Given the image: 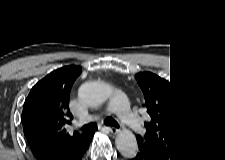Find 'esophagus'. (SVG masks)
<instances>
[{
	"label": "esophagus",
	"mask_w": 225,
	"mask_h": 160,
	"mask_svg": "<svg viewBox=\"0 0 225 160\" xmlns=\"http://www.w3.org/2000/svg\"><path fill=\"white\" fill-rule=\"evenodd\" d=\"M117 123V122H116ZM121 124L118 122L117 127L113 126H108L107 128L112 132V133H117L120 130Z\"/></svg>",
	"instance_id": "esophagus-1"
}]
</instances>
